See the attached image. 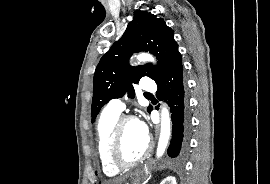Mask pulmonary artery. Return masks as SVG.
Masks as SVG:
<instances>
[{
  "label": "pulmonary artery",
  "instance_id": "obj_1",
  "mask_svg": "<svg viewBox=\"0 0 270 184\" xmlns=\"http://www.w3.org/2000/svg\"><path fill=\"white\" fill-rule=\"evenodd\" d=\"M140 88L145 93H152L156 90V84L149 78H144L140 82ZM108 108L121 113L125 109V104L120 99H113L109 102Z\"/></svg>",
  "mask_w": 270,
  "mask_h": 184
}]
</instances>
